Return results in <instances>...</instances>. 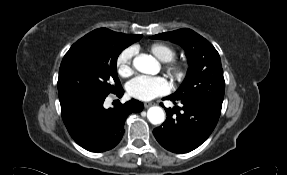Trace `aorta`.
Returning a JSON list of instances; mask_svg holds the SVG:
<instances>
[{"label":"aorta","mask_w":287,"mask_h":175,"mask_svg":"<svg viewBox=\"0 0 287 175\" xmlns=\"http://www.w3.org/2000/svg\"><path fill=\"white\" fill-rule=\"evenodd\" d=\"M133 66L144 74H156L158 72L157 61L147 55L136 56L133 60ZM147 118L152 124L158 125L164 122L165 113L161 107L153 106L148 109Z\"/></svg>","instance_id":"obj_1"}]
</instances>
